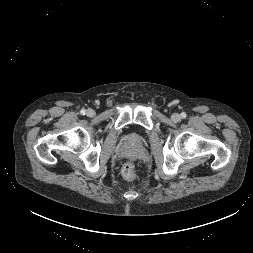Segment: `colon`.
I'll list each match as a JSON object with an SVG mask.
<instances>
[{"label": "colon", "instance_id": "5ec220e1", "mask_svg": "<svg viewBox=\"0 0 253 253\" xmlns=\"http://www.w3.org/2000/svg\"><path fill=\"white\" fill-rule=\"evenodd\" d=\"M122 174L126 179L134 180L137 178L134 164L127 162L122 168Z\"/></svg>", "mask_w": 253, "mask_h": 253}]
</instances>
